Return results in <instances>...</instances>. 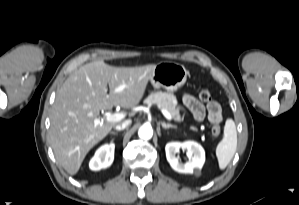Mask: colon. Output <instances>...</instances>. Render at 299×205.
I'll return each mask as SVG.
<instances>
[{
  "instance_id": "1",
  "label": "colon",
  "mask_w": 299,
  "mask_h": 205,
  "mask_svg": "<svg viewBox=\"0 0 299 205\" xmlns=\"http://www.w3.org/2000/svg\"><path fill=\"white\" fill-rule=\"evenodd\" d=\"M199 98L203 101H210L211 100V93L208 89L204 88L199 92ZM210 120L212 122V135L218 137L221 133L220 121H221V114L218 110L212 109L210 111Z\"/></svg>"
}]
</instances>
